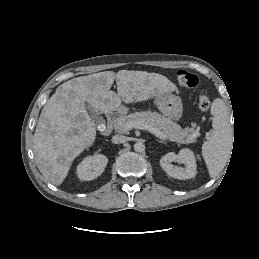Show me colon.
Instances as JSON below:
<instances>
[{"label": "colon", "instance_id": "1", "mask_svg": "<svg viewBox=\"0 0 259 259\" xmlns=\"http://www.w3.org/2000/svg\"><path fill=\"white\" fill-rule=\"evenodd\" d=\"M177 80L182 87L188 89L197 88L199 85L198 77L195 74L188 72L186 70L178 71ZM210 104L211 102L208 95L204 91H200L198 98L199 109L202 112H206L210 108Z\"/></svg>", "mask_w": 259, "mask_h": 259}]
</instances>
